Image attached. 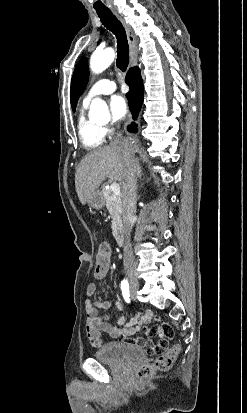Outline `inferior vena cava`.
Instances as JSON below:
<instances>
[{
	"mask_svg": "<svg viewBox=\"0 0 247 413\" xmlns=\"http://www.w3.org/2000/svg\"><path fill=\"white\" fill-rule=\"evenodd\" d=\"M112 142L124 144L126 150L125 168L122 174V202H123V227L125 231V243L123 253V265L129 283H137L135 275V263L133 251L130 243V233L134 225L136 213V180L137 174L141 170L137 158H135L136 140L130 136H122V132L117 130Z\"/></svg>",
	"mask_w": 247,
	"mask_h": 413,
	"instance_id": "obj_1",
	"label": "inferior vena cava"
}]
</instances>
